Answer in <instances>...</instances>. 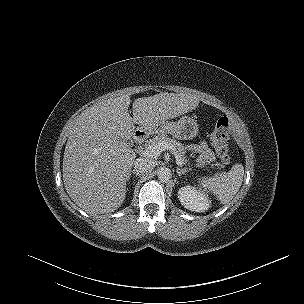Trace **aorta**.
Returning <instances> with one entry per match:
<instances>
[{
  "label": "aorta",
  "mask_w": 304,
  "mask_h": 304,
  "mask_svg": "<svg viewBox=\"0 0 304 304\" xmlns=\"http://www.w3.org/2000/svg\"><path fill=\"white\" fill-rule=\"evenodd\" d=\"M157 176L161 182H167L170 180L172 173L169 168L162 167L158 170Z\"/></svg>",
  "instance_id": "obj_1"
}]
</instances>
